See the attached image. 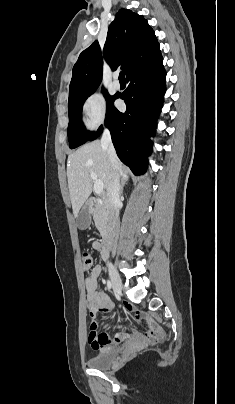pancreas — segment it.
Returning a JSON list of instances; mask_svg holds the SVG:
<instances>
[{"mask_svg":"<svg viewBox=\"0 0 235 404\" xmlns=\"http://www.w3.org/2000/svg\"><path fill=\"white\" fill-rule=\"evenodd\" d=\"M107 217H108L107 210L104 206L99 205L94 209L93 212L94 222L101 235H104L106 231Z\"/></svg>","mask_w":235,"mask_h":404,"instance_id":"obj_1","label":"pancreas"}]
</instances>
